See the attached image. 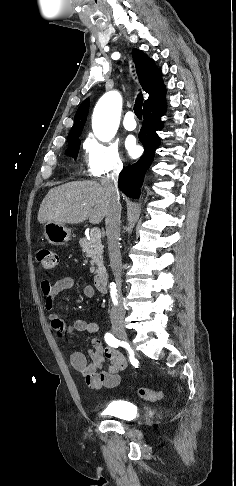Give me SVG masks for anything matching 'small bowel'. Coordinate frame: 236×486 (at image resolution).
<instances>
[{
    "label": "small bowel",
    "mask_w": 236,
    "mask_h": 486,
    "mask_svg": "<svg viewBox=\"0 0 236 486\" xmlns=\"http://www.w3.org/2000/svg\"><path fill=\"white\" fill-rule=\"evenodd\" d=\"M76 285V280L72 277H63L55 283L44 280L41 289L44 297V305L48 311L51 326L58 334L63 337L72 332H85L95 334L99 330L96 322H89L82 318L76 319L71 325H67L59 314L54 312V300L63 291L72 289ZM83 293L87 297L94 295V289L86 285ZM92 349L88 351L89 360L79 351L70 355L71 366L83 377L86 385L93 389L114 388L120 383V372L126 368V360L123 355L111 347H104L101 341L93 337L91 339ZM109 363L105 369L104 365Z\"/></svg>",
    "instance_id": "1"
}]
</instances>
